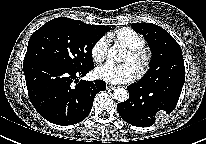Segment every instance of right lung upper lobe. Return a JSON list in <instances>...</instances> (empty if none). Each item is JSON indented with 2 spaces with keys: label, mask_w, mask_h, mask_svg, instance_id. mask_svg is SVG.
Here are the masks:
<instances>
[{
  "label": "right lung upper lobe",
  "mask_w": 206,
  "mask_h": 144,
  "mask_svg": "<svg viewBox=\"0 0 206 144\" xmlns=\"http://www.w3.org/2000/svg\"><path fill=\"white\" fill-rule=\"evenodd\" d=\"M78 21H79V20H78ZM80 22H82V21H80ZM82 23H84V22H82ZM84 24H85V23H84ZM85 25L89 26V27L92 28V29H95V30H97V31L104 32V33L110 30V27H107V26H102V25H88V24H85Z\"/></svg>",
  "instance_id": "obj_1"
}]
</instances>
